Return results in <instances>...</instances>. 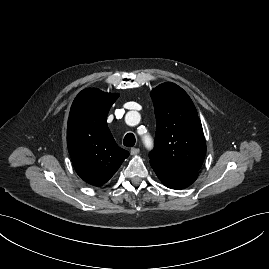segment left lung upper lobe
<instances>
[{"instance_id": "5c2ea615", "label": "left lung upper lobe", "mask_w": 269, "mask_h": 269, "mask_svg": "<svg viewBox=\"0 0 269 269\" xmlns=\"http://www.w3.org/2000/svg\"><path fill=\"white\" fill-rule=\"evenodd\" d=\"M156 116L154 150L150 162L198 172L206 154V142L196 108L178 85L166 82L151 92Z\"/></svg>"}]
</instances>
